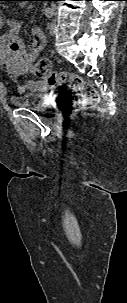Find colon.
Returning <instances> with one entry per match:
<instances>
[{"mask_svg": "<svg viewBox=\"0 0 127 303\" xmlns=\"http://www.w3.org/2000/svg\"><path fill=\"white\" fill-rule=\"evenodd\" d=\"M36 74L46 78L51 86H57L64 91L59 102L66 110L75 107L90 108L97 104L98 95L94 87L84 81L79 75L69 71H55L47 58H40L35 65Z\"/></svg>", "mask_w": 127, "mask_h": 303, "instance_id": "obj_1", "label": "colon"}]
</instances>
